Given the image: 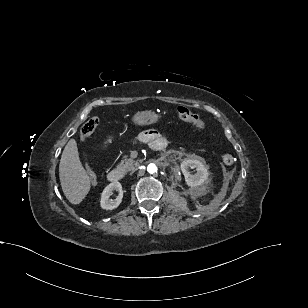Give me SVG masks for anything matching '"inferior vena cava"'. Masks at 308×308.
Returning a JSON list of instances; mask_svg holds the SVG:
<instances>
[{"mask_svg": "<svg viewBox=\"0 0 308 308\" xmlns=\"http://www.w3.org/2000/svg\"><path fill=\"white\" fill-rule=\"evenodd\" d=\"M130 172H131V174H133V175H134V174H136V173H137V170L133 168V169H131V171H130Z\"/></svg>", "mask_w": 308, "mask_h": 308, "instance_id": "obj_1", "label": "inferior vena cava"}]
</instances>
